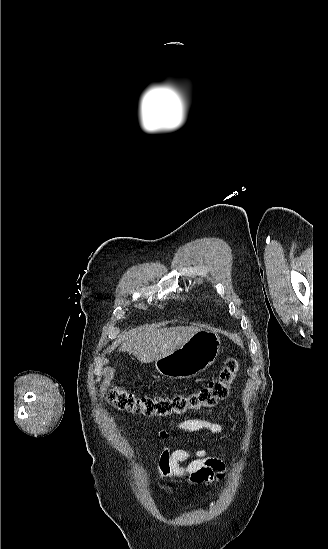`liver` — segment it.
I'll use <instances>...</instances> for the list:
<instances>
[{
	"mask_svg": "<svg viewBox=\"0 0 328 549\" xmlns=\"http://www.w3.org/2000/svg\"><path fill=\"white\" fill-rule=\"evenodd\" d=\"M200 331L199 327H169L162 329L156 325H145L129 331L119 351H129L140 363H152L156 359L170 355L190 337Z\"/></svg>",
	"mask_w": 328,
	"mask_h": 549,
	"instance_id": "liver-1",
	"label": "liver"
}]
</instances>
